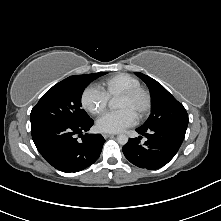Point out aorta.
I'll return each mask as SVG.
<instances>
[{"label": "aorta", "instance_id": "obj_1", "mask_svg": "<svg viewBox=\"0 0 221 221\" xmlns=\"http://www.w3.org/2000/svg\"><path fill=\"white\" fill-rule=\"evenodd\" d=\"M109 107L112 109V108H115V100H111L110 103H109ZM117 142L120 144V145H125L127 144L128 142V137L127 135L125 134H120L117 136Z\"/></svg>", "mask_w": 221, "mask_h": 221}]
</instances>
